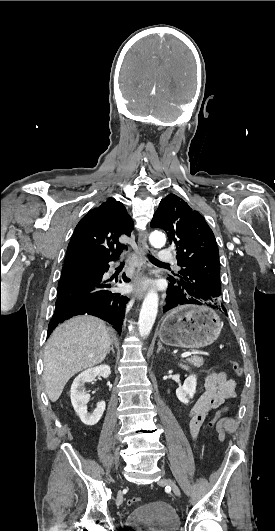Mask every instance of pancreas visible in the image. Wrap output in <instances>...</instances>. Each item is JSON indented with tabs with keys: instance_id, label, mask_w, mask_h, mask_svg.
Returning <instances> with one entry per match:
<instances>
[{
	"instance_id": "pancreas-1",
	"label": "pancreas",
	"mask_w": 275,
	"mask_h": 531,
	"mask_svg": "<svg viewBox=\"0 0 275 531\" xmlns=\"http://www.w3.org/2000/svg\"><path fill=\"white\" fill-rule=\"evenodd\" d=\"M186 361L191 363V365H194V367H202V365H204V359L198 357V355H194V357H190V359H186Z\"/></svg>"
}]
</instances>
